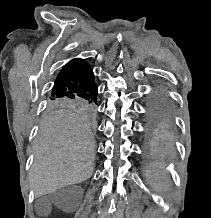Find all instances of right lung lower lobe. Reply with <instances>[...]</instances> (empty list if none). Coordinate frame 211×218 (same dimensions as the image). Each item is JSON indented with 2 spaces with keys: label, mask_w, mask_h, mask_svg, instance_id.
<instances>
[{
  "label": "right lung lower lobe",
  "mask_w": 211,
  "mask_h": 218,
  "mask_svg": "<svg viewBox=\"0 0 211 218\" xmlns=\"http://www.w3.org/2000/svg\"><path fill=\"white\" fill-rule=\"evenodd\" d=\"M97 94L98 89L89 64L82 59H73L57 75L49 97H79L97 102Z\"/></svg>",
  "instance_id": "98d812e1"
}]
</instances>
